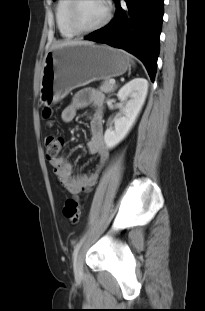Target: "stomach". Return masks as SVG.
Returning <instances> with one entry per match:
<instances>
[{"mask_svg":"<svg viewBox=\"0 0 205 311\" xmlns=\"http://www.w3.org/2000/svg\"><path fill=\"white\" fill-rule=\"evenodd\" d=\"M128 67V55L106 45L71 44L52 48L43 61L40 101L45 105L55 104L71 90L123 75Z\"/></svg>","mask_w":205,"mask_h":311,"instance_id":"stomach-1","label":"stomach"}]
</instances>
